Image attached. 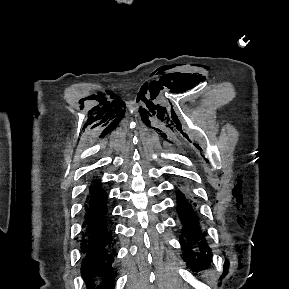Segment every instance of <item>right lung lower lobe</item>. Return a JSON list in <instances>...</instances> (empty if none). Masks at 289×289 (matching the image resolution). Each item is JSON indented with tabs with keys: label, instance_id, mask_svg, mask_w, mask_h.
<instances>
[{
	"label": "right lung lower lobe",
	"instance_id": "1",
	"mask_svg": "<svg viewBox=\"0 0 289 289\" xmlns=\"http://www.w3.org/2000/svg\"><path fill=\"white\" fill-rule=\"evenodd\" d=\"M84 218L81 248L86 256L81 271L85 276L102 275L107 282L104 289H110L117 275L112 267L116 241L112 236L113 221L107 206V193L98 180L93 181L86 196Z\"/></svg>",
	"mask_w": 289,
	"mask_h": 289
}]
</instances>
